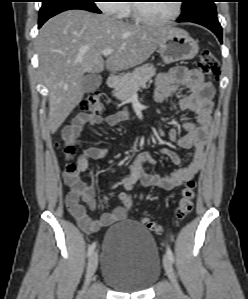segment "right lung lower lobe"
Returning a JSON list of instances; mask_svg holds the SVG:
<instances>
[{
  "instance_id": "98d812e1",
  "label": "right lung lower lobe",
  "mask_w": 248,
  "mask_h": 299,
  "mask_svg": "<svg viewBox=\"0 0 248 299\" xmlns=\"http://www.w3.org/2000/svg\"><path fill=\"white\" fill-rule=\"evenodd\" d=\"M49 19V18H48ZM48 19H45V20H42V21H39V27H41L43 25V23L48 20Z\"/></svg>"
}]
</instances>
